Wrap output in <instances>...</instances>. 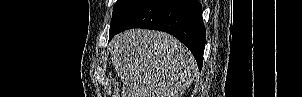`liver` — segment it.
Segmentation results:
<instances>
[{"label": "liver", "mask_w": 302, "mask_h": 97, "mask_svg": "<svg viewBox=\"0 0 302 97\" xmlns=\"http://www.w3.org/2000/svg\"><path fill=\"white\" fill-rule=\"evenodd\" d=\"M111 62L123 83L121 97H181L198 71L191 52L175 37L144 29L116 35Z\"/></svg>", "instance_id": "obj_1"}]
</instances>
